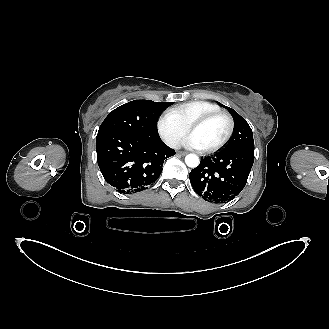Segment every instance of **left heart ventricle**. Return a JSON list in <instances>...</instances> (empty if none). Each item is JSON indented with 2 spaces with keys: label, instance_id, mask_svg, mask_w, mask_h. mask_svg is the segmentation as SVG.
<instances>
[{
  "label": "left heart ventricle",
  "instance_id": "obj_1",
  "mask_svg": "<svg viewBox=\"0 0 329 329\" xmlns=\"http://www.w3.org/2000/svg\"><path fill=\"white\" fill-rule=\"evenodd\" d=\"M228 123L223 117H218L194 128L191 131L202 149L210 148L219 143L227 133Z\"/></svg>",
  "mask_w": 329,
  "mask_h": 329
}]
</instances>
